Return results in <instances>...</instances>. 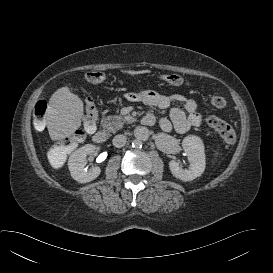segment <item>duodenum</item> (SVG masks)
I'll return each mask as SVG.
<instances>
[{"mask_svg":"<svg viewBox=\"0 0 273 273\" xmlns=\"http://www.w3.org/2000/svg\"><path fill=\"white\" fill-rule=\"evenodd\" d=\"M142 123L145 125H152L155 121V117L151 114H147L142 118ZM93 141L97 144H102L107 140V134L105 130L99 129L92 135Z\"/></svg>","mask_w":273,"mask_h":273,"instance_id":"duodenum-1","label":"duodenum"}]
</instances>
